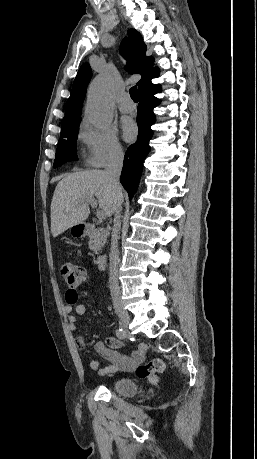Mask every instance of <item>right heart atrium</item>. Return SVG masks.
I'll use <instances>...</instances> for the list:
<instances>
[{
  "label": "right heart atrium",
  "instance_id": "right-heart-atrium-1",
  "mask_svg": "<svg viewBox=\"0 0 257 459\" xmlns=\"http://www.w3.org/2000/svg\"><path fill=\"white\" fill-rule=\"evenodd\" d=\"M80 138L86 147L87 163L90 166L102 167L123 156L122 145L112 127H95L84 121Z\"/></svg>",
  "mask_w": 257,
  "mask_h": 459
}]
</instances>
